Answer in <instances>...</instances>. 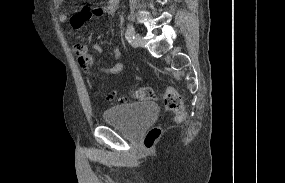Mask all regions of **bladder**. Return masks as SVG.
<instances>
[{
	"label": "bladder",
	"mask_w": 285,
	"mask_h": 183,
	"mask_svg": "<svg viewBox=\"0 0 285 183\" xmlns=\"http://www.w3.org/2000/svg\"><path fill=\"white\" fill-rule=\"evenodd\" d=\"M158 114V107L151 102L129 103L109 107L103 111L105 124L119 126L128 133L145 130Z\"/></svg>",
	"instance_id": "1"
}]
</instances>
